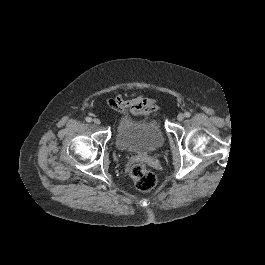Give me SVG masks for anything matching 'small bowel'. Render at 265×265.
Masks as SVG:
<instances>
[{
  "label": "small bowel",
  "instance_id": "small-bowel-1",
  "mask_svg": "<svg viewBox=\"0 0 265 265\" xmlns=\"http://www.w3.org/2000/svg\"><path fill=\"white\" fill-rule=\"evenodd\" d=\"M114 111L125 114L131 113L135 116H154L158 112V105L154 99H149L140 94H131L129 99H124L120 94L107 100Z\"/></svg>",
  "mask_w": 265,
  "mask_h": 265
}]
</instances>
